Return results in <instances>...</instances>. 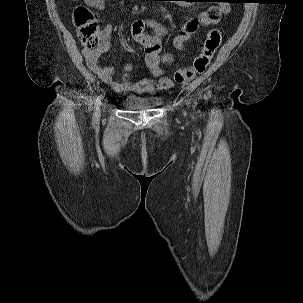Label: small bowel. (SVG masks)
I'll use <instances>...</instances> for the list:
<instances>
[{"instance_id": "1", "label": "small bowel", "mask_w": 303, "mask_h": 303, "mask_svg": "<svg viewBox=\"0 0 303 303\" xmlns=\"http://www.w3.org/2000/svg\"><path fill=\"white\" fill-rule=\"evenodd\" d=\"M108 0H86V2L98 11H103ZM119 4H123L124 0H118ZM140 9L135 7V11ZM229 6L220 4L211 6L207 11L203 12L198 19L188 20L181 31L175 36L173 45L176 49L182 50L192 37L201 27L216 24L221 17L227 13ZM145 27L151 29V33L145 31ZM113 27L108 25L102 32V42L94 49H84L83 54L87 66L91 71L99 76V78L115 91L120 93L138 92L153 93L159 89H167L171 87L172 82L164 74V66L171 64L175 60V56L170 53H161V40L166 35V27L156 19H136L131 25V34L133 38L141 43L145 48V62L150 71V76L139 81L130 79L132 71L131 64L127 63L122 72L121 80L114 79L115 70L111 67L103 66L100 62L101 56L110 49V35ZM160 78L158 85H155L156 79Z\"/></svg>"}]
</instances>
